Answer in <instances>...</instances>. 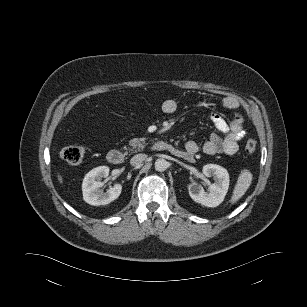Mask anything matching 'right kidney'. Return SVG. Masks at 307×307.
Returning <instances> with one entry per match:
<instances>
[{
  "label": "right kidney",
  "instance_id": "right-kidney-1",
  "mask_svg": "<svg viewBox=\"0 0 307 307\" xmlns=\"http://www.w3.org/2000/svg\"><path fill=\"white\" fill-rule=\"evenodd\" d=\"M109 167L99 166L89 171L82 183L83 199L86 203L94 206L106 205L117 199L122 190V185L114 184L106 192L100 189L103 186L102 178L109 175Z\"/></svg>",
  "mask_w": 307,
  "mask_h": 307
}]
</instances>
